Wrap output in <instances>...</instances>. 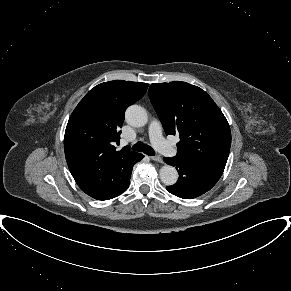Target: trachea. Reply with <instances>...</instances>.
Wrapping results in <instances>:
<instances>
[{"mask_svg": "<svg viewBox=\"0 0 291 291\" xmlns=\"http://www.w3.org/2000/svg\"><path fill=\"white\" fill-rule=\"evenodd\" d=\"M132 150L134 151H143L145 154L149 155V156H154L155 152L152 149V147H150L149 145L143 143V142H137L136 144L133 145Z\"/></svg>", "mask_w": 291, "mask_h": 291, "instance_id": "3493384b", "label": "trachea"}]
</instances>
